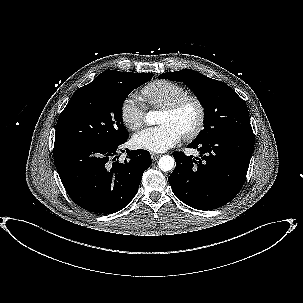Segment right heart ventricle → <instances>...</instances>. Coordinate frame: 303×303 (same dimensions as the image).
I'll return each instance as SVG.
<instances>
[{"mask_svg":"<svg viewBox=\"0 0 303 303\" xmlns=\"http://www.w3.org/2000/svg\"><path fill=\"white\" fill-rule=\"evenodd\" d=\"M142 93L152 107L163 108L179 97L187 94L186 89L169 80H156L147 84Z\"/></svg>","mask_w":303,"mask_h":303,"instance_id":"obj_1","label":"right heart ventricle"}]
</instances>
